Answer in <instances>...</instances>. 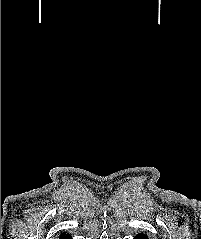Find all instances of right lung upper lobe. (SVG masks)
Masks as SVG:
<instances>
[{
  "mask_svg": "<svg viewBox=\"0 0 201 239\" xmlns=\"http://www.w3.org/2000/svg\"><path fill=\"white\" fill-rule=\"evenodd\" d=\"M67 235H68V234H67ZM61 236H65V235L61 234ZM61 236H60V237H61Z\"/></svg>",
  "mask_w": 201,
  "mask_h": 239,
  "instance_id": "right-lung-upper-lobe-1",
  "label": "right lung upper lobe"
}]
</instances>
